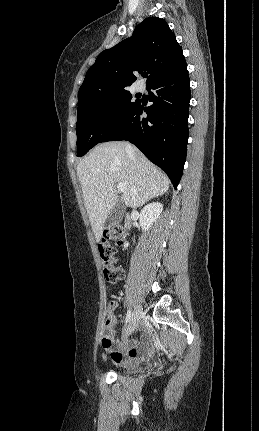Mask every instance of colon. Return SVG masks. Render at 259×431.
<instances>
[{
	"label": "colon",
	"mask_w": 259,
	"mask_h": 431,
	"mask_svg": "<svg viewBox=\"0 0 259 431\" xmlns=\"http://www.w3.org/2000/svg\"><path fill=\"white\" fill-rule=\"evenodd\" d=\"M124 239L125 230L121 226L109 227L104 231L102 241L98 246L103 274L106 282L110 285L117 284L124 277L123 269L117 263V250L113 245V243L122 245ZM110 342L105 332L102 337V345H109Z\"/></svg>",
	"instance_id": "colon-1"
}]
</instances>
